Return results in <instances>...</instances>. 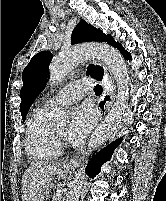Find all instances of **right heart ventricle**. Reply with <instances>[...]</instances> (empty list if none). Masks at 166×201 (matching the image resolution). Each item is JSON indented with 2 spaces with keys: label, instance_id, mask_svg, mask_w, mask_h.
<instances>
[{
  "label": "right heart ventricle",
  "instance_id": "obj_1",
  "mask_svg": "<svg viewBox=\"0 0 166 201\" xmlns=\"http://www.w3.org/2000/svg\"><path fill=\"white\" fill-rule=\"evenodd\" d=\"M48 111L49 107L46 105L35 109L27 123L26 151L33 164L53 161L61 153Z\"/></svg>",
  "mask_w": 166,
  "mask_h": 201
}]
</instances>
